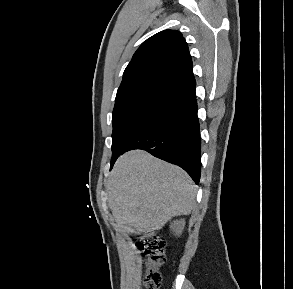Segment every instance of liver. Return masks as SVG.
<instances>
[{"label": "liver", "mask_w": 293, "mask_h": 289, "mask_svg": "<svg viewBox=\"0 0 293 289\" xmlns=\"http://www.w3.org/2000/svg\"><path fill=\"white\" fill-rule=\"evenodd\" d=\"M107 187L109 207L118 226L128 233L149 235L172 217L189 214L197 193L184 170L141 150L120 156Z\"/></svg>", "instance_id": "1"}]
</instances>
